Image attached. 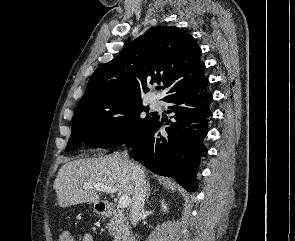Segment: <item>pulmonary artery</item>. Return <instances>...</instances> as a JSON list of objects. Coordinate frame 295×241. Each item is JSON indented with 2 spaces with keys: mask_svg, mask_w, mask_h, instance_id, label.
I'll use <instances>...</instances> for the list:
<instances>
[{
  "mask_svg": "<svg viewBox=\"0 0 295 241\" xmlns=\"http://www.w3.org/2000/svg\"><path fill=\"white\" fill-rule=\"evenodd\" d=\"M151 105H152V107H154V108H157V107L159 106L158 102H156V101H153V102L151 103Z\"/></svg>",
  "mask_w": 295,
  "mask_h": 241,
  "instance_id": "pulmonary-artery-1",
  "label": "pulmonary artery"
}]
</instances>
